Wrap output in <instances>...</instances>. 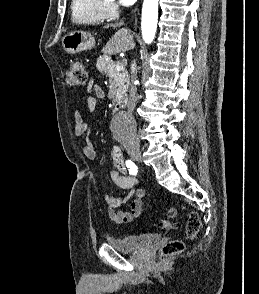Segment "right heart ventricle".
Instances as JSON below:
<instances>
[{
  "instance_id": "right-heart-ventricle-1",
  "label": "right heart ventricle",
  "mask_w": 259,
  "mask_h": 294,
  "mask_svg": "<svg viewBox=\"0 0 259 294\" xmlns=\"http://www.w3.org/2000/svg\"><path fill=\"white\" fill-rule=\"evenodd\" d=\"M72 19L78 24H98L107 19L104 0H72Z\"/></svg>"
}]
</instances>
